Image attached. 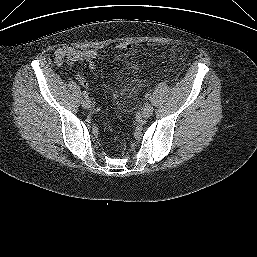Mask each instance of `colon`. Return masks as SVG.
Returning <instances> with one entry per match:
<instances>
[{"label": "colon", "instance_id": "1", "mask_svg": "<svg viewBox=\"0 0 257 257\" xmlns=\"http://www.w3.org/2000/svg\"><path fill=\"white\" fill-rule=\"evenodd\" d=\"M132 48V45L130 42L128 41H121L119 43L116 44V49L117 50H129Z\"/></svg>", "mask_w": 257, "mask_h": 257}]
</instances>
